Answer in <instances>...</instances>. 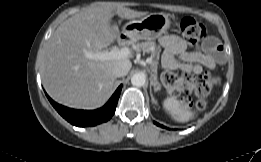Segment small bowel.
<instances>
[{
  "mask_svg": "<svg viewBox=\"0 0 261 162\" xmlns=\"http://www.w3.org/2000/svg\"><path fill=\"white\" fill-rule=\"evenodd\" d=\"M164 53L162 65L168 70H182L200 74L203 68L214 69L225 61L222 45L213 37L205 39L200 50L186 51V43L176 35L162 36L159 39Z\"/></svg>",
  "mask_w": 261,
  "mask_h": 162,
  "instance_id": "c3829d8e",
  "label": "small bowel"
}]
</instances>
